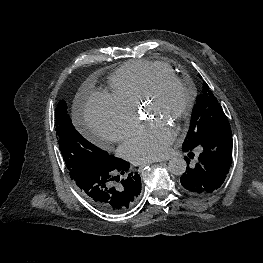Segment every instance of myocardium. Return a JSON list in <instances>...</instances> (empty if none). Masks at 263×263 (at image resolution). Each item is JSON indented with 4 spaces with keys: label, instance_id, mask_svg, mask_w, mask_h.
Wrapping results in <instances>:
<instances>
[{
    "label": "myocardium",
    "instance_id": "myocardium-1",
    "mask_svg": "<svg viewBox=\"0 0 263 263\" xmlns=\"http://www.w3.org/2000/svg\"><path fill=\"white\" fill-rule=\"evenodd\" d=\"M170 85H176L182 89L186 94V103L181 112L176 116L174 123L180 124L186 121L193 112L197 93L195 88L185 79L178 77L175 74H166L159 76L148 88L146 93L141 99V104H147L148 102L158 98L166 87Z\"/></svg>",
    "mask_w": 263,
    "mask_h": 263
}]
</instances>
